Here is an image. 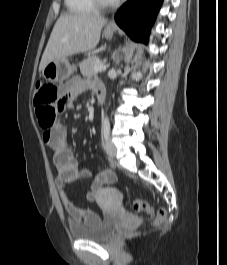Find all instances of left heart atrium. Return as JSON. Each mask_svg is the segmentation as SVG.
<instances>
[{
    "mask_svg": "<svg viewBox=\"0 0 227 265\" xmlns=\"http://www.w3.org/2000/svg\"><path fill=\"white\" fill-rule=\"evenodd\" d=\"M111 2H117V1H119V0H110Z\"/></svg>",
    "mask_w": 227,
    "mask_h": 265,
    "instance_id": "left-heart-atrium-1",
    "label": "left heart atrium"
}]
</instances>
